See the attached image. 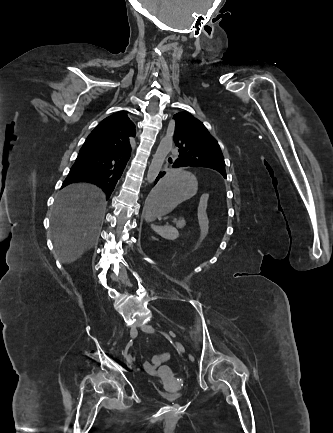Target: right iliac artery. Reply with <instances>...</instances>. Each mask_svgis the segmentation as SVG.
<instances>
[{"label":"right iliac artery","instance_id":"1","mask_svg":"<svg viewBox=\"0 0 333 433\" xmlns=\"http://www.w3.org/2000/svg\"><path fill=\"white\" fill-rule=\"evenodd\" d=\"M132 345H133V340L131 339V340L128 342L126 348H125L124 351H123V355H124V357L128 358L127 352H128V349H129Z\"/></svg>","mask_w":333,"mask_h":433}]
</instances>
